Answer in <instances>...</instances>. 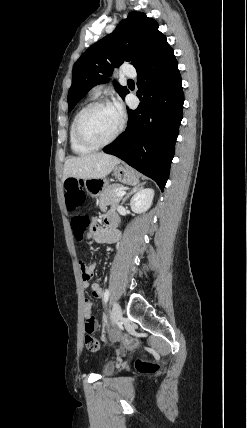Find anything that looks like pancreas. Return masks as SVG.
I'll use <instances>...</instances> for the list:
<instances>
[{
  "label": "pancreas",
  "mask_w": 247,
  "mask_h": 428,
  "mask_svg": "<svg viewBox=\"0 0 247 428\" xmlns=\"http://www.w3.org/2000/svg\"><path fill=\"white\" fill-rule=\"evenodd\" d=\"M122 189H124V186L120 184H112L106 186L99 195L100 209L104 210L108 205H117L121 200V197H117L116 193Z\"/></svg>",
  "instance_id": "pancreas-1"
}]
</instances>
